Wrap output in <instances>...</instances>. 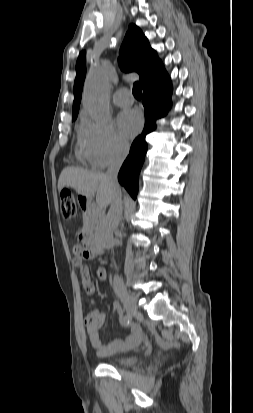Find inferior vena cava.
Instances as JSON below:
<instances>
[{
    "label": "inferior vena cava",
    "instance_id": "1",
    "mask_svg": "<svg viewBox=\"0 0 253 413\" xmlns=\"http://www.w3.org/2000/svg\"><path fill=\"white\" fill-rule=\"evenodd\" d=\"M128 150L129 148L127 145L120 144L117 147L106 172L107 179L111 182L112 186L116 190L115 200L111 204L107 215L102 220L97 231L98 239L101 245L106 249H110L114 246L115 240L113 238V233L117 229L122 217L123 206L117 175L123 161L128 154ZM113 288L116 293H122L125 291L124 282L120 277L116 276L114 278Z\"/></svg>",
    "mask_w": 253,
    "mask_h": 413
}]
</instances>
